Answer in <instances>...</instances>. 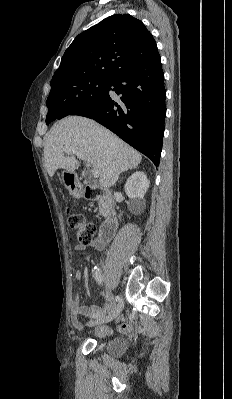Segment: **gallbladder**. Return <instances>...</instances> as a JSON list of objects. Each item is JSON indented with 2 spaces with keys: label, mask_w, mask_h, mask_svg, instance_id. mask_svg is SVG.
Masks as SVG:
<instances>
[{
  "label": "gallbladder",
  "mask_w": 232,
  "mask_h": 399,
  "mask_svg": "<svg viewBox=\"0 0 232 399\" xmlns=\"http://www.w3.org/2000/svg\"><path fill=\"white\" fill-rule=\"evenodd\" d=\"M83 172H84L85 174H89V173L91 172V169H90L89 167H85V168L83 169Z\"/></svg>",
  "instance_id": "obj_1"
}]
</instances>
